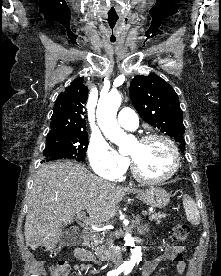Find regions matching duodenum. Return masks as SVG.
<instances>
[{
	"label": "duodenum",
	"instance_id": "410a0bca",
	"mask_svg": "<svg viewBox=\"0 0 221 276\" xmlns=\"http://www.w3.org/2000/svg\"><path fill=\"white\" fill-rule=\"evenodd\" d=\"M91 238H92L91 232L89 230H84L82 232L81 247H79V248L86 249V247L89 246V244L91 242ZM96 255L99 258V260H106L109 258V252H108V250H106L104 248L96 249Z\"/></svg>",
	"mask_w": 221,
	"mask_h": 276
}]
</instances>
